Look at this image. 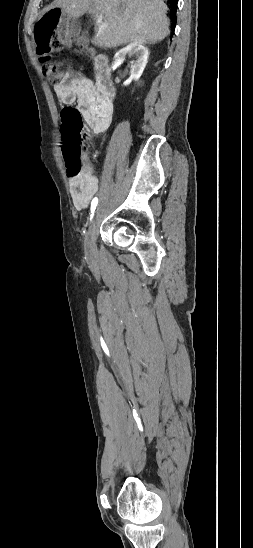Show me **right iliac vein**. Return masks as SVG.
<instances>
[{
	"label": "right iliac vein",
	"mask_w": 253,
	"mask_h": 548,
	"mask_svg": "<svg viewBox=\"0 0 253 548\" xmlns=\"http://www.w3.org/2000/svg\"><path fill=\"white\" fill-rule=\"evenodd\" d=\"M97 220H98V213L96 214L94 220L92 221V224L90 225L88 232L85 237L84 242V248H85V254L87 258L90 261H94L97 257V250H96V232H97Z\"/></svg>",
	"instance_id": "63e3f726"
}]
</instances>
